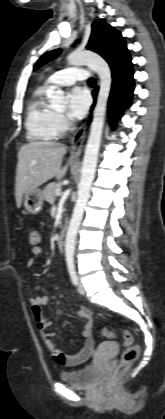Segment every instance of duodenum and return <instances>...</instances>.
Listing matches in <instances>:
<instances>
[{
	"mask_svg": "<svg viewBox=\"0 0 165 419\" xmlns=\"http://www.w3.org/2000/svg\"><path fill=\"white\" fill-rule=\"evenodd\" d=\"M65 240H66V230L62 229L57 240V246L59 250H63L64 245H65Z\"/></svg>",
	"mask_w": 165,
	"mask_h": 419,
	"instance_id": "duodenum-1",
	"label": "duodenum"
}]
</instances>
